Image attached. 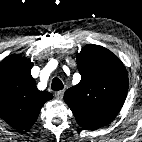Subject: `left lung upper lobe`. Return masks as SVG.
I'll use <instances>...</instances> for the list:
<instances>
[{
    "mask_svg": "<svg viewBox=\"0 0 142 142\" xmlns=\"http://www.w3.org/2000/svg\"><path fill=\"white\" fill-rule=\"evenodd\" d=\"M77 66L81 81L66 91L64 101L82 128L109 124L127 95L129 80L124 65L108 49L88 44L77 54Z\"/></svg>",
    "mask_w": 142,
    "mask_h": 142,
    "instance_id": "1",
    "label": "left lung upper lobe"
}]
</instances>
